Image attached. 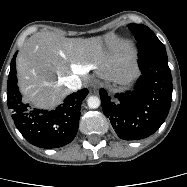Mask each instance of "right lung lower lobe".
<instances>
[{
  "instance_id": "obj_1",
  "label": "right lung lower lobe",
  "mask_w": 187,
  "mask_h": 187,
  "mask_svg": "<svg viewBox=\"0 0 187 187\" xmlns=\"http://www.w3.org/2000/svg\"><path fill=\"white\" fill-rule=\"evenodd\" d=\"M16 55L17 52L10 65L7 101L17 129L28 142L41 148H57L70 143L76 136L81 104L88 90L69 95L55 110L31 108L23 101L17 86Z\"/></svg>"
}]
</instances>
